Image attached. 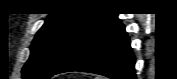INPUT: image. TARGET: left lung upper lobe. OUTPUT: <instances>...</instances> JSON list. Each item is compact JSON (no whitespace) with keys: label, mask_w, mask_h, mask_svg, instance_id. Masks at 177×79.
<instances>
[{"label":"left lung upper lobe","mask_w":177,"mask_h":79,"mask_svg":"<svg viewBox=\"0 0 177 79\" xmlns=\"http://www.w3.org/2000/svg\"><path fill=\"white\" fill-rule=\"evenodd\" d=\"M107 15L90 11L49 14L30 47L24 78L49 79L73 47Z\"/></svg>","instance_id":"left-lung-upper-lobe-1"}]
</instances>
